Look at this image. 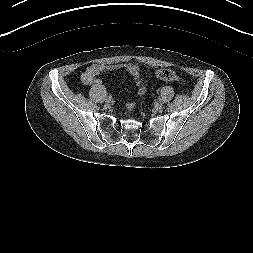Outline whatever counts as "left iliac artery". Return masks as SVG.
Segmentation results:
<instances>
[{"mask_svg": "<svg viewBox=\"0 0 253 253\" xmlns=\"http://www.w3.org/2000/svg\"><path fill=\"white\" fill-rule=\"evenodd\" d=\"M156 102H157L158 104H161V103L163 102V99H162L161 97H158V98L156 99Z\"/></svg>", "mask_w": 253, "mask_h": 253, "instance_id": "obj_1", "label": "left iliac artery"}]
</instances>
